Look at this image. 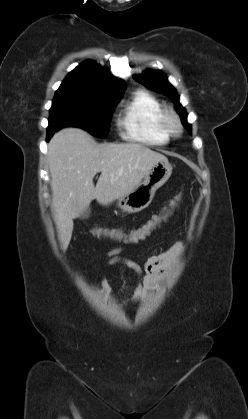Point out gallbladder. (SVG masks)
<instances>
[{
    "label": "gallbladder",
    "mask_w": 248,
    "mask_h": 419,
    "mask_svg": "<svg viewBox=\"0 0 248 419\" xmlns=\"http://www.w3.org/2000/svg\"><path fill=\"white\" fill-rule=\"evenodd\" d=\"M89 215H90V209L89 208H86L81 214H80V218H83V219H85V218H88L89 217Z\"/></svg>",
    "instance_id": "obj_1"
}]
</instances>
